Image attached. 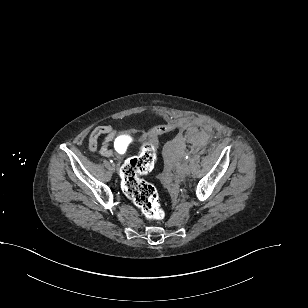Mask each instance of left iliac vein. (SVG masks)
Masks as SVG:
<instances>
[{
  "instance_id": "left-iliac-vein-1",
  "label": "left iliac vein",
  "mask_w": 308,
  "mask_h": 308,
  "mask_svg": "<svg viewBox=\"0 0 308 308\" xmlns=\"http://www.w3.org/2000/svg\"><path fill=\"white\" fill-rule=\"evenodd\" d=\"M189 172H190V168H189L188 164L183 163L182 166L179 169V175L180 176L188 175Z\"/></svg>"
}]
</instances>
